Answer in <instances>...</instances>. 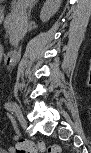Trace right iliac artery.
Returning a JSON list of instances; mask_svg holds the SVG:
<instances>
[{
  "instance_id": "1",
  "label": "right iliac artery",
  "mask_w": 91,
  "mask_h": 153,
  "mask_svg": "<svg viewBox=\"0 0 91 153\" xmlns=\"http://www.w3.org/2000/svg\"><path fill=\"white\" fill-rule=\"evenodd\" d=\"M4 107H5V109L8 110V111H12L11 103H9V102L5 103Z\"/></svg>"
}]
</instances>
